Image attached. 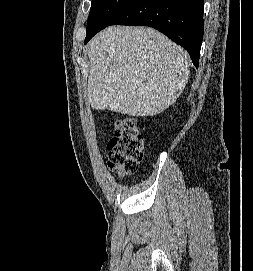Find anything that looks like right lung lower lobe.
I'll return each mask as SVG.
<instances>
[{
  "instance_id": "right-lung-lower-lobe-1",
  "label": "right lung lower lobe",
  "mask_w": 253,
  "mask_h": 271,
  "mask_svg": "<svg viewBox=\"0 0 253 271\" xmlns=\"http://www.w3.org/2000/svg\"><path fill=\"white\" fill-rule=\"evenodd\" d=\"M204 0H132L110 25L153 27L184 47L196 68L203 40ZM96 33L86 36L87 43Z\"/></svg>"
}]
</instances>
